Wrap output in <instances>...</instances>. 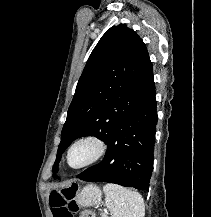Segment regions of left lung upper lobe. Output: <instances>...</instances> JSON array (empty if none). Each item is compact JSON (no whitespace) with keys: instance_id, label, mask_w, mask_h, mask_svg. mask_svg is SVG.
<instances>
[{"instance_id":"5c2ea615","label":"left lung upper lobe","mask_w":211,"mask_h":217,"mask_svg":"<svg viewBox=\"0 0 211 217\" xmlns=\"http://www.w3.org/2000/svg\"><path fill=\"white\" fill-rule=\"evenodd\" d=\"M155 89L147 48L124 24L113 26L93 49L68 109L53 172L62 153L82 136L105 143L116 125Z\"/></svg>"}]
</instances>
